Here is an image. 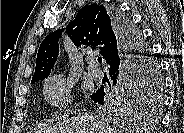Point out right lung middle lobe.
Here are the masks:
<instances>
[{"label": "right lung middle lobe", "instance_id": "1", "mask_svg": "<svg viewBox=\"0 0 184 133\" xmlns=\"http://www.w3.org/2000/svg\"><path fill=\"white\" fill-rule=\"evenodd\" d=\"M125 19L127 25L131 28L132 37L136 39V42H138V45L142 48L136 51L137 61L140 62V68L138 69L139 73L129 80L126 93L121 97H117L113 106L120 110L136 111L150 105V103L155 104L157 99L160 100L155 94L157 95L161 90L162 81L159 75V66L157 62L153 60L148 47L144 44L140 32L128 18L125 17ZM147 51L149 52V55L147 54Z\"/></svg>", "mask_w": 184, "mask_h": 133}]
</instances>
